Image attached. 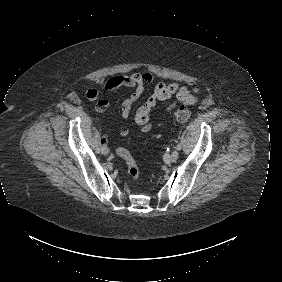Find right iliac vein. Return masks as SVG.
<instances>
[{
	"label": "right iliac vein",
	"instance_id": "63e3f726",
	"mask_svg": "<svg viewBox=\"0 0 282 282\" xmlns=\"http://www.w3.org/2000/svg\"><path fill=\"white\" fill-rule=\"evenodd\" d=\"M101 153L104 154V155H108V153H109L108 148H107L106 146H103V147L101 148Z\"/></svg>",
	"mask_w": 282,
	"mask_h": 282
}]
</instances>
